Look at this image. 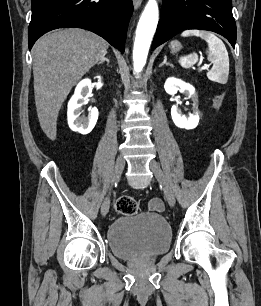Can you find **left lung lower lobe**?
<instances>
[{"instance_id":"0a47b994","label":"left lung lower lobe","mask_w":261,"mask_h":306,"mask_svg":"<svg viewBox=\"0 0 261 306\" xmlns=\"http://www.w3.org/2000/svg\"><path fill=\"white\" fill-rule=\"evenodd\" d=\"M186 29H202L224 36L233 47L236 24L231 0H164L152 49Z\"/></svg>"}]
</instances>
